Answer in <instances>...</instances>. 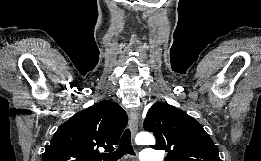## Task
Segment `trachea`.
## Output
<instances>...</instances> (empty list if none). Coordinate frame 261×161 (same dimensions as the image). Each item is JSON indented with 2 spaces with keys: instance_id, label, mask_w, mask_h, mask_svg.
Wrapping results in <instances>:
<instances>
[{
  "instance_id": "3493384b",
  "label": "trachea",
  "mask_w": 261,
  "mask_h": 161,
  "mask_svg": "<svg viewBox=\"0 0 261 161\" xmlns=\"http://www.w3.org/2000/svg\"><path fill=\"white\" fill-rule=\"evenodd\" d=\"M126 154L134 155L129 129L125 130V132L121 136L118 149L114 152L102 155L101 158L104 161H118Z\"/></svg>"
}]
</instances>
